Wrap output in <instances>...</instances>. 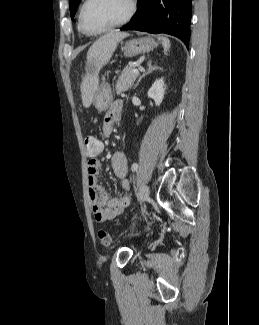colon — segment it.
I'll list each match as a JSON object with an SVG mask.
<instances>
[{
  "mask_svg": "<svg viewBox=\"0 0 259 325\" xmlns=\"http://www.w3.org/2000/svg\"><path fill=\"white\" fill-rule=\"evenodd\" d=\"M84 148L86 154H94L97 150L102 149V143L99 138L93 136H88L84 140ZM98 239L101 245L108 247L112 244V238L110 234L105 230H100L98 232Z\"/></svg>",
  "mask_w": 259,
  "mask_h": 325,
  "instance_id": "1",
  "label": "colon"
}]
</instances>
